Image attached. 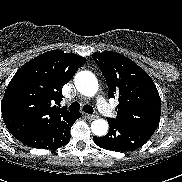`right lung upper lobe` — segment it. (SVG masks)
<instances>
[{"label": "right lung upper lobe", "mask_w": 182, "mask_h": 182, "mask_svg": "<svg viewBox=\"0 0 182 182\" xmlns=\"http://www.w3.org/2000/svg\"><path fill=\"white\" fill-rule=\"evenodd\" d=\"M86 58L51 50L22 66L11 79L2 101V116L15 138L55 125L76 112L60 108L62 88Z\"/></svg>", "instance_id": "right-lung-upper-lobe-1"}]
</instances>
